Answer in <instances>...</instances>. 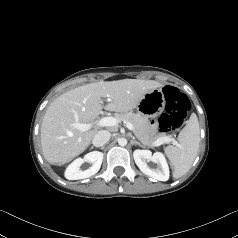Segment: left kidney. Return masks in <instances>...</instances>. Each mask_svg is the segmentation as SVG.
I'll use <instances>...</instances> for the list:
<instances>
[{
    "mask_svg": "<svg viewBox=\"0 0 238 238\" xmlns=\"http://www.w3.org/2000/svg\"><path fill=\"white\" fill-rule=\"evenodd\" d=\"M133 157L136 165L144 174L159 181H167L169 179V166L161 152H155L152 155L150 150L137 149L133 152ZM150 161L157 164V166L155 168L149 167L147 162Z\"/></svg>",
    "mask_w": 238,
    "mask_h": 238,
    "instance_id": "obj_1",
    "label": "left kidney"
}]
</instances>
